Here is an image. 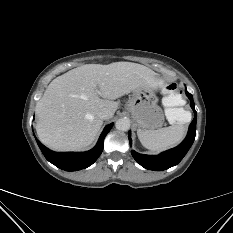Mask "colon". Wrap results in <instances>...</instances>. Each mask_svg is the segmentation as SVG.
<instances>
[{"instance_id":"colon-1","label":"colon","mask_w":233,"mask_h":233,"mask_svg":"<svg viewBox=\"0 0 233 233\" xmlns=\"http://www.w3.org/2000/svg\"><path fill=\"white\" fill-rule=\"evenodd\" d=\"M163 105L168 120L173 124H187L190 112L176 83H166L162 86Z\"/></svg>"}]
</instances>
